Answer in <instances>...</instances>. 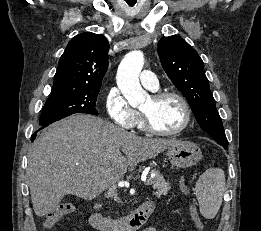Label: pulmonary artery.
<instances>
[{"label": "pulmonary artery", "mask_w": 261, "mask_h": 231, "mask_svg": "<svg viewBox=\"0 0 261 231\" xmlns=\"http://www.w3.org/2000/svg\"><path fill=\"white\" fill-rule=\"evenodd\" d=\"M140 80L142 85L151 91H157L159 88L156 75L150 70H143L141 72Z\"/></svg>", "instance_id": "pulmonary-artery-1"}]
</instances>
